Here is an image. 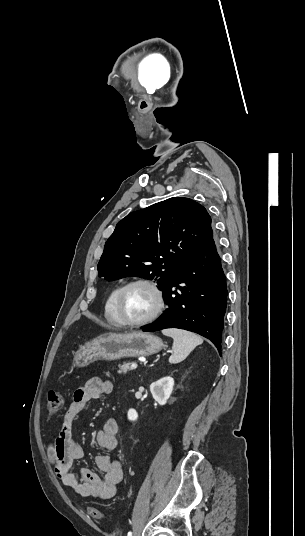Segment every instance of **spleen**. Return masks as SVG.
Masks as SVG:
<instances>
[{"label": "spleen", "instance_id": "spleen-1", "mask_svg": "<svg viewBox=\"0 0 305 536\" xmlns=\"http://www.w3.org/2000/svg\"><path fill=\"white\" fill-rule=\"evenodd\" d=\"M164 336H170L173 338L172 356L169 358L170 364H179L186 360L190 352L203 344L202 338L192 334V332H186V330H176V328H170V330H162Z\"/></svg>", "mask_w": 305, "mask_h": 536}]
</instances>
